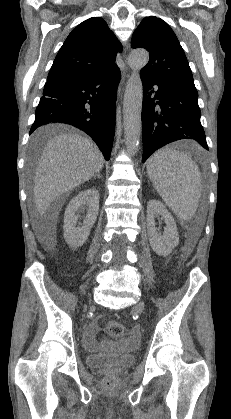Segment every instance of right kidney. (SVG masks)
I'll return each mask as SVG.
<instances>
[{
  "label": "right kidney",
  "mask_w": 231,
  "mask_h": 419,
  "mask_svg": "<svg viewBox=\"0 0 231 419\" xmlns=\"http://www.w3.org/2000/svg\"><path fill=\"white\" fill-rule=\"evenodd\" d=\"M87 204V215L81 226L77 225L78 210ZM99 211V191L90 188L79 192L68 204L64 214V239L69 246L77 248L82 246L95 223Z\"/></svg>",
  "instance_id": "1"
}]
</instances>
